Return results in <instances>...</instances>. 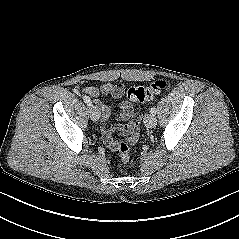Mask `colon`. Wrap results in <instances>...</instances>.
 I'll list each match as a JSON object with an SVG mask.
<instances>
[{
    "mask_svg": "<svg viewBox=\"0 0 239 239\" xmlns=\"http://www.w3.org/2000/svg\"><path fill=\"white\" fill-rule=\"evenodd\" d=\"M166 87L164 80L158 79L147 86H133L127 91V98L131 102H145L152 100ZM135 122H140V116L137 115ZM120 161L127 164L130 161V150L125 142L116 145Z\"/></svg>",
    "mask_w": 239,
    "mask_h": 239,
    "instance_id": "colon-1",
    "label": "colon"
}]
</instances>
